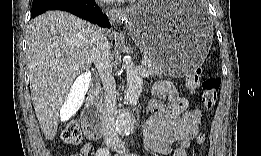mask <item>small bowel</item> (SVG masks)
Returning <instances> with one entry per match:
<instances>
[{
    "mask_svg": "<svg viewBox=\"0 0 261 156\" xmlns=\"http://www.w3.org/2000/svg\"><path fill=\"white\" fill-rule=\"evenodd\" d=\"M166 96L168 104H162L158 98ZM153 116L145 126V143L154 152L162 155L186 156L190 142L199 132L202 112L189 106L188 100L181 97L168 81L157 82L153 87L150 102ZM176 145L174 151L171 145ZM92 149L90 142L81 148V154L87 156Z\"/></svg>",
    "mask_w": 261,
    "mask_h": 156,
    "instance_id": "obj_1",
    "label": "small bowel"
}]
</instances>
